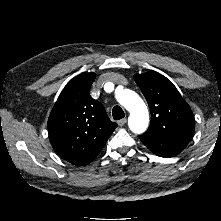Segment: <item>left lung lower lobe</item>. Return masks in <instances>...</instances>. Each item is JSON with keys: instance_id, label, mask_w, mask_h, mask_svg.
Instances as JSON below:
<instances>
[{"instance_id": "0a47b994", "label": "left lung lower lobe", "mask_w": 221, "mask_h": 221, "mask_svg": "<svg viewBox=\"0 0 221 221\" xmlns=\"http://www.w3.org/2000/svg\"><path fill=\"white\" fill-rule=\"evenodd\" d=\"M139 138L149 150L161 157L177 155L190 141L188 138L163 137L150 132L144 133Z\"/></svg>"}]
</instances>
